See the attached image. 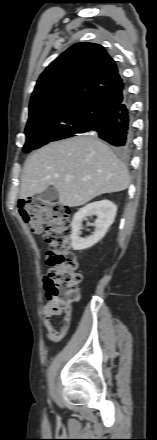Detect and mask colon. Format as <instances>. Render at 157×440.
<instances>
[{"instance_id": "obj_1", "label": "colon", "mask_w": 157, "mask_h": 440, "mask_svg": "<svg viewBox=\"0 0 157 440\" xmlns=\"http://www.w3.org/2000/svg\"><path fill=\"white\" fill-rule=\"evenodd\" d=\"M19 213L31 232L49 245L46 257L50 269L44 279L48 305L55 317L70 319L82 279L70 243V209L59 202L32 197L20 202Z\"/></svg>"}]
</instances>
